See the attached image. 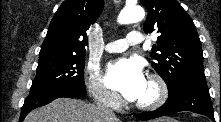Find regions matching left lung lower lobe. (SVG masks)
Returning <instances> with one entry per match:
<instances>
[{"label":"left lung lower lobe","mask_w":221,"mask_h":122,"mask_svg":"<svg viewBox=\"0 0 221 122\" xmlns=\"http://www.w3.org/2000/svg\"><path fill=\"white\" fill-rule=\"evenodd\" d=\"M180 111L203 114L215 120L206 82H185L175 91L169 92V98L160 108L134 117L146 121Z\"/></svg>","instance_id":"0a47b994"}]
</instances>
